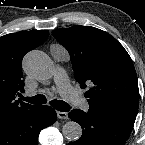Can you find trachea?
<instances>
[{
    "label": "trachea",
    "mask_w": 145,
    "mask_h": 145,
    "mask_svg": "<svg viewBox=\"0 0 145 145\" xmlns=\"http://www.w3.org/2000/svg\"><path fill=\"white\" fill-rule=\"evenodd\" d=\"M22 100L29 102L31 104H45L47 102V99L44 95H36L33 97H26V98L22 97ZM50 105L56 110L61 112H67L70 110V106L66 102L61 100L54 99L50 101Z\"/></svg>",
    "instance_id": "obj_1"
}]
</instances>
